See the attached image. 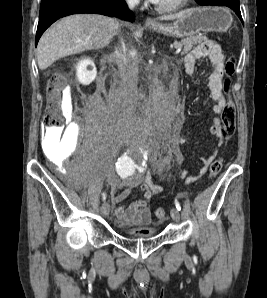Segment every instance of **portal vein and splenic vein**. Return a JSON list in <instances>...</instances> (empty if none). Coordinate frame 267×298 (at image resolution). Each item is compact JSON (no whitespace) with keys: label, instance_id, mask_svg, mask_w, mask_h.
<instances>
[{"label":"portal vein and splenic vein","instance_id":"obj_1","mask_svg":"<svg viewBox=\"0 0 267 298\" xmlns=\"http://www.w3.org/2000/svg\"><path fill=\"white\" fill-rule=\"evenodd\" d=\"M181 52V48H177L175 54H179Z\"/></svg>","mask_w":267,"mask_h":298}]
</instances>
